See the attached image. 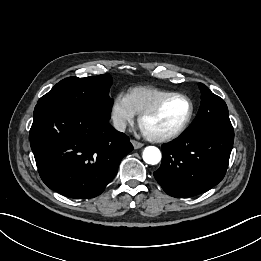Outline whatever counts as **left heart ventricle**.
Segmentation results:
<instances>
[{"mask_svg": "<svg viewBox=\"0 0 261 261\" xmlns=\"http://www.w3.org/2000/svg\"><path fill=\"white\" fill-rule=\"evenodd\" d=\"M189 111L187 101L180 98L169 100L161 110L144 121V129L153 134L166 133L178 127Z\"/></svg>", "mask_w": 261, "mask_h": 261, "instance_id": "1", "label": "left heart ventricle"}]
</instances>
